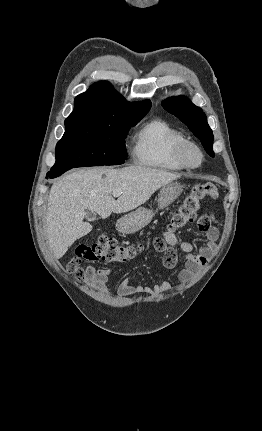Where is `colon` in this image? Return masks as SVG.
Masks as SVG:
<instances>
[{
	"label": "colon",
	"instance_id": "1",
	"mask_svg": "<svg viewBox=\"0 0 262 431\" xmlns=\"http://www.w3.org/2000/svg\"><path fill=\"white\" fill-rule=\"evenodd\" d=\"M217 196L218 190L214 184L198 183L193 186L190 193L184 198L162 233L136 246L120 244L108 237H99L95 241L84 243L75 249L67 263V271L77 276L82 275L86 270V267L81 265L82 259L109 263L125 262L134 257L144 245L151 246L160 252L168 251L170 247L165 241V234L172 233L191 224L195 220L203 201L208 197L216 198Z\"/></svg>",
	"mask_w": 262,
	"mask_h": 431
}]
</instances>
